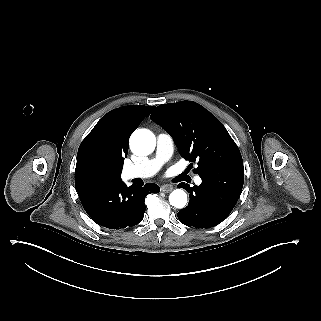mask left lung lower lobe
<instances>
[{"mask_svg": "<svg viewBox=\"0 0 321 321\" xmlns=\"http://www.w3.org/2000/svg\"><path fill=\"white\" fill-rule=\"evenodd\" d=\"M200 186L180 183L189 192V203L178 212L186 226L209 228L225 220L240 197L244 183L243 163L226 164L199 174Z\"/></svg>", "mask_w": 321, "mask_h": 321, "instance_id": "1", "label": "left lung lower lobe"}]
</instances>
